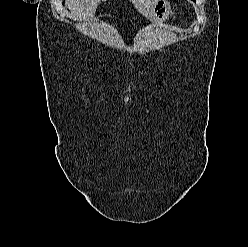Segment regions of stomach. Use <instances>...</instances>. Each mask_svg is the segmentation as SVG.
I'll list each match as a JSON object with an SVG mask.
<instances>
[{"label":"stomach","instance_id":"obj_1","mask_svg":"<svg viewBox=\"0 0 248 247\" xmlns=\"http://www.w3.org/2000/svg\"><path fill=\"white\" fill-rule=\"evenodd\" d=\"M171 6L167 0H157L150 11L148 18L154 24L163 22L170 14Z\"/></svg>","mask_w":248,"mask_h":247}]
</instances>
